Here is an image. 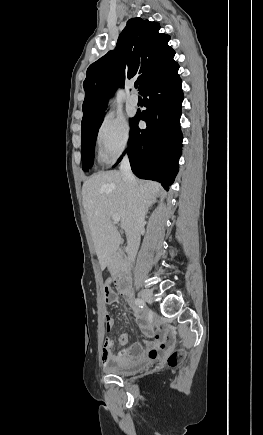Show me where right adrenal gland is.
Masks as SVG:
<instances>
[{"label": "right adrenal gland", "instance_id": "right-adrenal-gland-1", "mask_svg": "<svg viewBox=\"0 0 263 435\" xmlns=\"http://www.w3.org/2000/svg\"><path fill=\"white\" fill-rule=\"evenodd\" d=\"M153 203H155V201H151V202L146 204V212H148L149 207L152 206Z\"/></svg>", "mask_w": 263, "mask_h": 435}]
</instances>
